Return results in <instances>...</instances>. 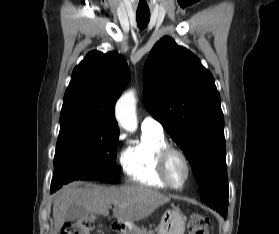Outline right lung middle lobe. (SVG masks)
<instances>
[{
  "instance_id": "right-lung-middle-lobe-1",
  "label": "right lung middle lobe",
  "mask_w": 279,
  "mask_h": 234,
  "mask_svg": "<svg viewBox=\"0 0 279 234\" xmlns=\"http://www.w3.org/2000/svg\"><path fill=\"white\" fill-rule=\"evenodd\" d=\"M51 192L76 179L120 182L116 165L119 130L100 128L91 119L60 117Z\"/></svg>"
}]
</instances>
